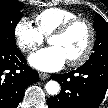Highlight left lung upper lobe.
I'll return each mask as SVG.
<instances>
[{"label":"left lung upper lobe","mask_w":108,"mask_h":108,"mask_svg":"<svg viewBox=\"0 0 108 108\" xmlns=\"http://www.w3.org/2000/svg\"><path fill=\"white\" fill-rule=\"evenodd\" d=\"M93 26L96 31L94 53L91 54L86 63L99 60L108 62V23L98 13H96ZM68 96H70V99H74L76 92L68 93Z\"/></svg>","instance_id":"obj_1"}]
</instances>
